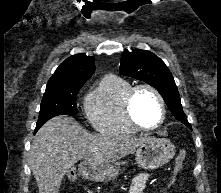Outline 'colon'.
I'll list each match as a JSON object with an SVG mask.
<instances>
[{
  "instance_id": "colon-1",
  "label": "colon",
  "mask_w": 221,
  "mask_h": 193,
  "mask_svg": "<svg viewBox=\"0 0 221 193\" xmlns=\"http://www.w3.org/2000/svg\"><path fill=\"white\" fill-rule=\"evenodd\" d=\"M185 158H186V152L185 150H181L175 161L174 174H173V178L170 181V184L173 183L175 175L180 171L181 167L183 166Z\"/></svg>"
}]
</instances>
